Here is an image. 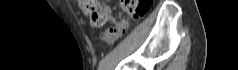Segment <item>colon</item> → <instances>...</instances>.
<instances>
[{
	"mask_svg": "<svg viewBox=\"0 0 238 70\" xmlns=\"http://www.w3.org/2000/svg\"><path fill=\"white\" fill-rule=\"evenodd\" d=\"M78 2L93 26L101 27L106 23V15L97 7L94 0H79ZM121 3L123 10L131 19L142 17L152 5L151 0H122ZM112 33H115V30H112Z\"/></svg>",
	"mask_w": 238,
	"mask_h": 70,
	"instance_id": "obj_1",
	"label": "colon"
}]
</instances>
